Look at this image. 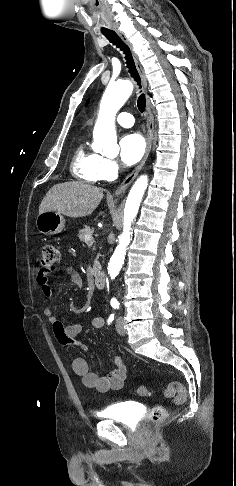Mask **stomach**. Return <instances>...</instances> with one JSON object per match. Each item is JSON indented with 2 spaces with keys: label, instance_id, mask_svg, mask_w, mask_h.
Segmentation results:
<instances>
[{
  "label": "stomach",
  "instance_id": "obj_1",
  "mask_svg": "<svg viewBox=\"0 0 236 486\" xmlns=\"http://www.w3.org/2000/svg\"><path fill=\"white\" fill-rule=\"evenodd\" d=\"M64 224L63 215L55 211L40 213L35 222L37 230L45 235L60 233L64 228Z\"/></svg>",
  "mask_w": 236,
  "mask_h": 486
}]
</instances>
